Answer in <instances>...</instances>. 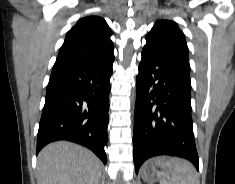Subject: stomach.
Segmentation results:
<instances>
[{"label": "stomach", "instance_id": "1", "mask_svg": "<svg viewBox=\"0 0 235 184\" xmlns=\"http://www.w3.org/2000/svg\"><path fill=\"white\" fill-rule=\"evenodd\" d=\"M171 158L168 156H161V158H154L142 168L141 176L148 184H153L157 180L167 178L172 170Z\"/></svg>", "mask_w": 235, "mask_h": 184}]
</instances>
